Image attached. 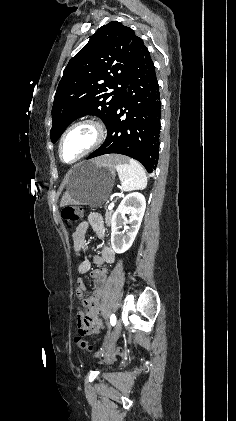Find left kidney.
Listing matches in <instances>:
<instances>
[{
	"instance_id": "5707ae66",
	"label": "left kidney",
	"mask_w": 236,
	"mask_h": 421,
	"mask_svg": "<svg viewBox=\"0 0 236 421\" xmlns=\"http://www.w3.org/2000/svg\"><path fill=\"white\" fill-rule=\"evenodd\" d=\"M145 208L146 200L141 192H130L121 200L111 217V245L115 253H125L132 247L140 229ZM126 213H130L129 221L125 217ZM122 227H126L125 233H119Z\"/></svg>"
}]
</instances>
